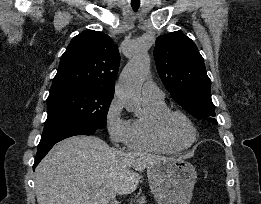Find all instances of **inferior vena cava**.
I'll use <instances>...</instances> for the list:
<instances>
[{"instance_id": "inferior-vena-cava-1", "label": "inferior vena cava", "mask_w": 261, "mask_h": 204, "mask_svg": "<svg viewBox=\"0 0 261 204\" xmlns=\"http://www.w3.org/2000/svg\"><path fill=\"white\" fill-rule=\"evenodd\" d=\"M114 198L115 197L112 198L113 202L111 204H119Z\"/></svg>"}]
</instances>
